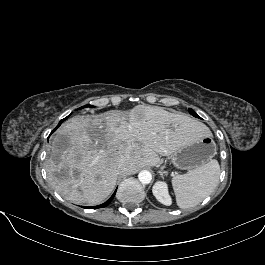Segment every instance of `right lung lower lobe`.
I'll return each mask as SVG.
<instances>
[{"instance_id": "obj_1", "label": "right lung lower lobe", "mask_w": 265, "mask_h": 265, "mask_svg": "<svg viewBox=\"0 0 265 265\" xmlns=\"http://www.w3.org/2000/svg\"><path fill=\"white\" fill-rule=\"evenodd\" d=\"M62 123V122H61ZM61 123L58 124V126L53 130L55 131L60 125ZM116 191L114 192V194L103 204L99 205V206H91V207H87V208H92V209H95V208H101V207H106L107 205L110 204V202L112 201L114 195H115Z\"/></svg>"}]
</instances>
